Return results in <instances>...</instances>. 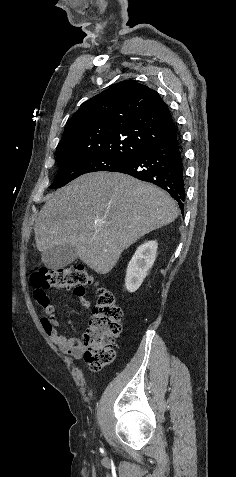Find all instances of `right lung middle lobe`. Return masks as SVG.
I'll use <instances>...</instances> for the list:
<instances>
[{
	"mask_svg": "<svg viewBox=\"0 0 236 477\" xmlns=\"http://www.w3.org/2000/svg\"><path fill=\"white\" fill-rule=\"evenodd\" d=\"M129 160L130 158L107 155H86L57 160L60 170L50 188H60L75 178L90 172L114 171Z\"/></svg>",
	"mask_w": 236,
	"mask_h": 477,
	"instance_id": "1",
	"label": "right lung middle lobe"
}]
</instances>
